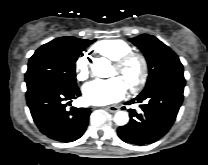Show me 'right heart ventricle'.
I'll return each mask as SVG.
<instances>
[{"instance_id": "1", "label": "right heart ventricle", "mask_w": 208, "mask_h": 165, "mask_svg": "<svg viewBox=\"0 0 208 165\" xmlns=\"http://www.w3.org/2000/svg\"><path fill=\"white\" fill-rule=\"evenodd\" d=\"M93 50L114 61L120 56L131 52L132 47L129 43L121 39H105L97 42Z\"/></svg>"}]
</instances>
